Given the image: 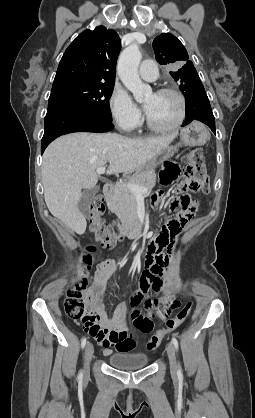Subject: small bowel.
I'll return each mask as SVG.
<instances>
[{"mask_svg": "<svg viewBox=\"0 0 255 418\" xmlns=\"http://www.w3.org/2000/svg\"><path fill=\"white\" fill-rule=\"evenodd\" d=\"M178 170L176 164L167 163L161 171L160 178L162 183L168 184L174 180L178 174ZM177 220L180 222V227L175 232L173 227H162L160 237L151 236V240L145 242L143 253L146 256V266L141 277V289L131 300L133 306L139 304L143 298V294L149 288L159 291L166 285V282L163 280L164 271L169 264L170 256L175 254L174 248L178 246V243L174 240L188 223L187 221H180L179 218H177ZM115 268L116 263L113 259H106L100 263L99 281L95 288L96 292H99L105 278L111 274ZM146 305L148 307H164L160 317L163 320H168L170 316L181 307V294L176 292L174 298H171V295H167L160 299L147 300ZM95 307V304H92L88 313L95 314ZM127 312L128 307L124 305L117 314L109 318L106 310L103 307H99L98 313L96 314L97 327L93 330H86L89 335L104 348V353L106 355L110 354L113 350L118 352L131 351L136 346V337L131 332L125 319L122 318ZM132 319L136 328L142 332L150 331L151 322L139 311L134 310L132 312ZM99 322L101 325H99Z\"/></svg>", "mask_w": 255, "mask_h": 418, "instance_id": "c3829d8e", "label": "small bowel"}]
</instances>
